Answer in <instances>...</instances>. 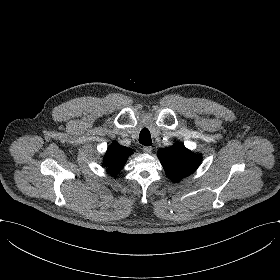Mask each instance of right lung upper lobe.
<instances>
[{"mask_svg": "<svg viewBox=\"0 0 280 280\" xmlns=\"http://www.w3.org/2000/svg\"><path fill=\"white\" fill-rule=\"evenodd\" d=\"M132 151L131 148L114 142L107 150L103 162L104 166L107 168V172L112 176H116L123 168L128 157L132 154Z\"/></svg>", "mask_w": 280, "mask_h": 280, "instance_id": "obj_1", "label": "right lung upper lobe"}]
</instances>
